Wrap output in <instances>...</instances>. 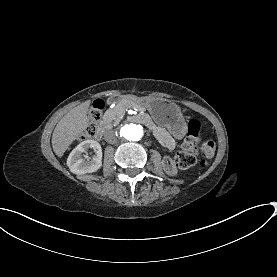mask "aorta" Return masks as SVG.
<instances>
[{
  "label": "aorta",
  "mask_w": 277,
  "mask_h": 277,
  "mask_svg": "<svg viewBox=\"0 0 277 277\" xmlns=\"http://www.w3.org/2000/svg\"><path fill=\"white\" fill-rule=\"evenodd\" d=\"M144 135L141 125L125 122L118 129V137L125 141H139Z\"/></svg>",
  "instance_id": "762f6f07"
}]
</instances>
